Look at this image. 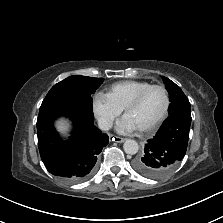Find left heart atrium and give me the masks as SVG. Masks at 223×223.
Returning a JSON list of instances; mask_svg holds the SVG:
<instances>
[{"instance_id": "1", "label": "left heart atrium", "mask_w": 223, "mask_h": 223, "mask_svg": "<svg viewBox=\"0 0 223 223\" xmlns=\"http://www.w3.org/2000/svg\"><path fill=\"white\" fill-rule=\"evenodd\" d=\"M117 130L121 133H131L137 128L135 125L130 121V119L125 115L118 123H117Z\"/></svg>"}]
</instances>
